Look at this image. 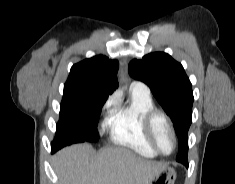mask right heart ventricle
Instances as JSON below:
<instances>
[{
    "label": "right heart ventricle",
    "mask_w": 235,
    "mask_h": 184,
    "mask_svg": "<svg viewBox=\"0 0 235 184\" xmlns=\"http://www.w3.org/2000/svg\"><path fill=\"white\" fill-rule=\"evenodd\" d=\"M154 108L151 97L132 92L131 102L114 110L110 126L112 147L108 151L111 159L122 160L129 154L148 158L157 156L143 125L145 115Z\"/></svg>",
    "instance_id": "1"
}]
</instances>
